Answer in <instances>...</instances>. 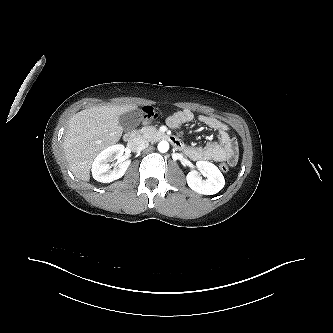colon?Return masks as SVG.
I'll return each instance as SVG.
<instances>
[{
    "label": "colon",
    "mask_w": 333,
    "mask_h": 333,
    "mask_svg": "<svg viewBox=\"0 0 333 333\" xmlns=\"http://www.w3.org/2000/svg\"><path fill=\"white\" fill-rule=\"evenodd\" d=\"M158 113L150 106H146L143 108V123L144 124H149L152 120L157 118ZM220 169L222 171H227L229 168V165L226 162H222L219 165Z\"/></svg>",
    "instance_id": "obj_1"
}]
</instances>
